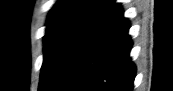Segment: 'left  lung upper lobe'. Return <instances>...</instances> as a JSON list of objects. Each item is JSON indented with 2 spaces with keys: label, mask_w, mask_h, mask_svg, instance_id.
Returning a JSON list of instances; mask_svg holds the SVG:
<instances>
[{
  "label": "left lung upper lobe",
  "mask_w": 173,
  "mask_h": 91,
  "mask_svg": "<svg viewBox=\"0 0 173 91\" xmlns=\"http://www.w3.org/2000/svg\"><path fill=\"white\" fill-rule=\"evenodd\" d=\"M115 0H58L47 19L39 91H51L70 57Z\"/></svg>",
  "instance_id": "left-lung-upper-lobe-1"
}]
</instances>
